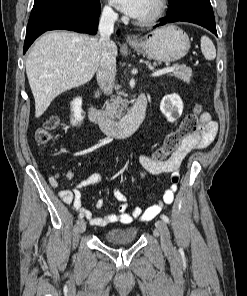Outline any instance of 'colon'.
I'll return each instance as SVG.
<instances>
[{"instance_id": "1", "label": "colon", "mask_w": 247, "mask_h": 296, "mask_svg": "<svg viewBox=\"0 0 247 296\" xmlns=\"http://www.w3.org/2000/svg\"><path fill=\"white\" fill-rule=\"evenodd\" d=\"M200 106H195L181 121L178 128L170 132L163 140V143L153 154V160L156 162L165 161L172 153L177 151L183 141L196 133L199 124ZM58 123L55 119L46 122L43 128L36 133V140L40 145H46L55 140L53 131L57 128ZM172 180L178 184L179 176L174 175Z\"/></svg>"}]
</instances>
